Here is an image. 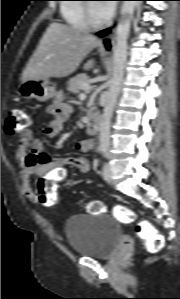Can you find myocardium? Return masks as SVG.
Masks as SVG:
<instances>
[{
	"label": "myocardium",
	"mask_w": 180,
	"mask_h": 299,
	"mask_svg": "<svg viewBox=\"0 0 180 299\" xmlns=\"http://www.w3.org/2000/svg\"><path fill=\"white\" fill-rule=\"evenodd\" d=\"M84 9H85L86 22H87L88 27H90V28H93V29L103 28L111 22V16H107L102 21H96L93 17L91 3L85 4Z\"/></svg>",
	"instance_id": "myocardium-1"
}]
</instances>
